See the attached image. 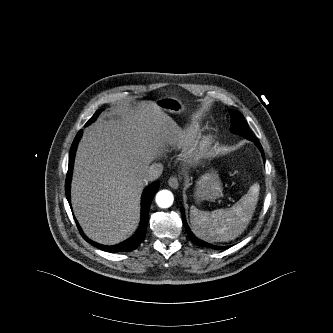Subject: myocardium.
I'll return each instance as SVG.
<instances>
[{"mask_svg": "<svg viewBox=\"0 0 333 333\" xmlns=\"http://www.w3.org/2000/svg\"><path fill=\"white\" fill-rule=\"evenodd\" d=\"M212 137L210 134L203 135L192 147L187 157L191 164L199 162L205 155L207 148L210 146Z\"/></svg>", "mask_w": 333, "mask_h": 333, "instance_id": "1", "label": "myocardium"}]
</instances>
